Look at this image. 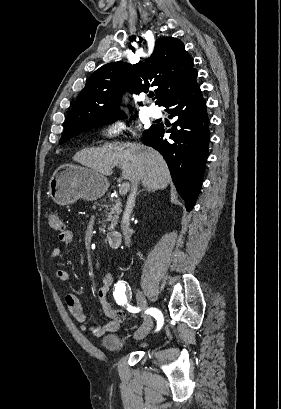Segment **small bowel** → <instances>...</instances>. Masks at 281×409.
Wrapping results in <instances>:
<instances>
[{"mask_svg":"<svg viewBox=\"0 0 281 409\" xmlns=\"http://www.w3.org/2000/svg\"><path fill=\"white\" fill-rule=\"evenodd\" d=\"M73 240V232L65 230L59 235L58 244L54 247L51 257L53 259L59 257L64 249L71 244ZM56 277L60 282H67L69 274L67 271L59 269L56 271ZM115 280L111 272H107L102 278V284L97 290V297L103 308L104 314L108 317V321L100 325H90L86 322V315L82 310L79 298L72 293L65 296V303L71 316L79 323L81 332L88 333L95 337H102L105 334L116 332L121 324V320L115 318V312L118 311L113 307L109 294L114 289Z\"/></svg>","mask_w":281,"mask_h":409,"instance_id":"1","label":"small bowel"}]
</instances>
